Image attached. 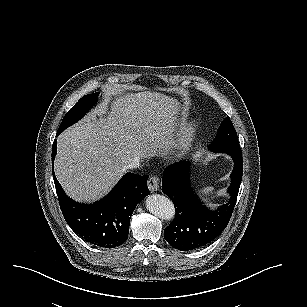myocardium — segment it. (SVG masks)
Segmentation results:
<instances>
[{
  "label": "myocardium",
  "mask_w": 307,
  "mask_h": 307,
  "mask_svg": "<svg viewBox=\"0 0 307 307\" xmlns=\"http://www.w3.org/2000/svg\"><path fill=\"white\" fill-rule=\"evenodd\" d=\"M200 135V120L196 116H189L176 129V134L164 147V154L174 161H181L185 152L195 147V140Z\"/></svg>",
  "instance_id": "obj_1"
}]
</instances>
